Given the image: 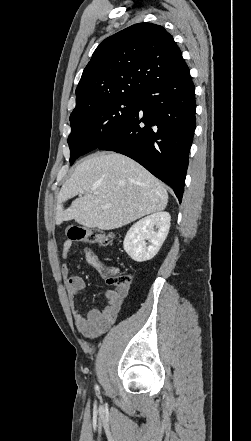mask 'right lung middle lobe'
<instances>
[{"mask_svg":"<svg viewBox=\"0 0 251 441\" xmlns=\"http://www.w3.org/2000/svg\"><path fill=\"white\" fill-rule=\"evenodd\" d=\"M140 95L113 96L93 101L70 116V164L97 149L117 133L136 111Z\"/></svg>","mask_w":251,"mask_h":441,"instance_id":"obj_1","label":"right lung middle lobe"}]
</instances>
